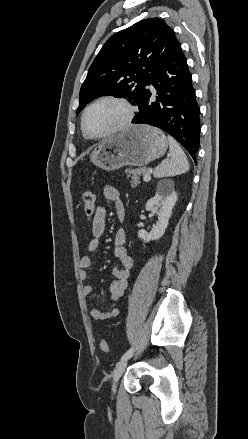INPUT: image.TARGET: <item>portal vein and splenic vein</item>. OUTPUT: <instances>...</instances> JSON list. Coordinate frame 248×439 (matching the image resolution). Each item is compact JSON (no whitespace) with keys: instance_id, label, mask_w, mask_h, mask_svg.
I'll use <instances>...</instances> for the list:
<instances>
[{"instance_id":"1","label":"portal vein and splenic vein","mask_w":248,"mask_h":439,"mask_svg":"<svg viewBox=\"0 0 248 439\" xmlns=\"http://www.w3.org/2000/svg\"><path fill=\"white\" fill-rule=\"evenodd\" d=\"M150 174H151V172H148V173L145 174V176L143 178L144 181H146V182L150 181V179H151Z\"/></svg>"}]
</instances>
